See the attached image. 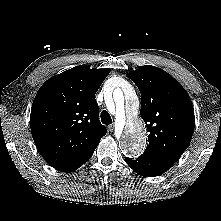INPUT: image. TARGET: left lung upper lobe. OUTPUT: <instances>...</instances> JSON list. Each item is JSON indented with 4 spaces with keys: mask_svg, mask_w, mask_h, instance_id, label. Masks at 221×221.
Returning a JSON list of instances; mask_svg holds the SVG:
<instances>
[{
    "mask_svg": "<svg viewBox=\"0 0 221 221\" xmlns=\"http://www.w3.org/2000/svg\"><path fill=\"white\" fill-rule=\"evenodd\" d=\"M126 76L140 90V115L149 132L142 155L173 165L194 131V109L188 93L170 74L154 66H142Z\"/></svg>",
    "mask_w": 221,
    "mask_h": 221,
    "instance_id": "left-lung-upper-lobe-1",
    "label": "left lung upper lobe"
}]
</instances>
